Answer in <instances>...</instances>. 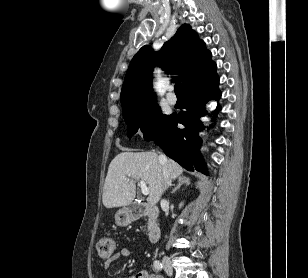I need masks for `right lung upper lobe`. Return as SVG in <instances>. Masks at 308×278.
Returning <instances> with one entry per match:
<instances>
[{"mask_svg":"<svg viewBox=\"0 0 308 278\" xmlns=\"http://www.w3.org/2000/svg\"><path fill=\"white\" fill-rule=\"evenodd\" d=\"M156 64L168 74H180L174 79L182 81L184 92L216 73V64L205 43L190 25L184 24L160 51L154 52L149 46H143L135 54L122 86L123 114L156 103L151 84V72Z\"/></svg>","mask_w":308,"mask_h":278,"instance_id":"right-lung-upper-lobe-1","label":"right lung upper lobe"}]
</instances>
